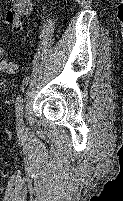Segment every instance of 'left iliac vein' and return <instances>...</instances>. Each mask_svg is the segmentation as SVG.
Wrapping results in <instances>:
<instances>
[{"instance_id": "obj_1", "label": "left iliac vein", "mask_w": 123, "mask_h": 201, "mask_svg": "<svg viewBox=\"0 0 123 201\" xmlns=\"http://www.w3.org/2000/svg\"><path fill=\"white\" fill-rule=\"evenodd\" d=\"M17 124H18V129H21V127L23 126L22 125V122L18 119V121H17Z\"/></svg>"}]
</instances>
